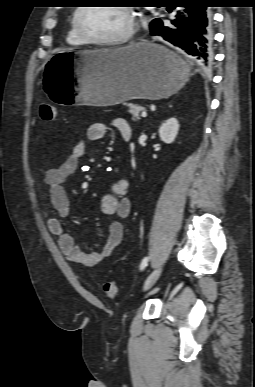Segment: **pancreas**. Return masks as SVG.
<instances>
[{
	"label": "pancreas",
	"instance_id": "obj_1",
	"mask_svg": "<svg viewBox=\"0 0 255 387\" xmlns=\"http://www.w3.org/2000/svg\"><path fill=\"white\" fill-rule=\"evenodd\" d=\"M126 105L129 108V113L132 115V120L134 122L140 120L139 112L142 110V107L133 103H128Z\"/></svg>",
	"mask_w": 255,
	"mask_h": 387
}]
</instances>
